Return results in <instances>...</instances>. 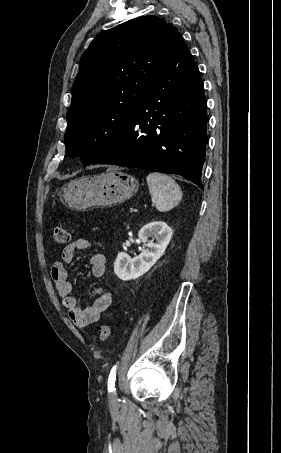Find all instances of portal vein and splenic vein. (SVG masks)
Masks as SVG:
<instances>
[{
  "label": "portal vein and splenic vein",
  "mask_w": 281,
  "mask_h": 453,
  "mask_svg": "<svg viewBox=\"0 0 281 453\" xmlns=\"http://www.w3.org/2000/svg\"><path fill=\"white\" fill-rule=\"evenodd\" d=\"M139 210L141 211L142 209L140 208ZM132 212L137 213L138 212L137 207H130L129 213H132Z\"/></svg>",
  "instance_id": "obj_1"
}]
</instances>
